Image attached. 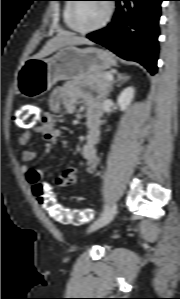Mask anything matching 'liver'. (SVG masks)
<instances>
[{"label":"liver","mask_w":180,"mask_h":299,"mask_svg":"<svg viewBox=\"0 0 180 299\" xmlns=\"http://www.w3.org/2000/svg\"><path fill=\"white\" fill-rule=\"evenodd\" d=\"M91 45L92 42L84 37H80L69 31L60 30L56 36L46 42L43 48L32 58H44L53 52L64 47H74L76 45Z\"/></svg>","instance_id":"6515ba94"}]
</instances>
